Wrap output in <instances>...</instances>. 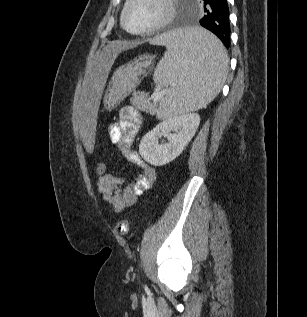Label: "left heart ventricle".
<instances>
[{"label":"left heart ventricle","instance_id":"left-heart-ventricle-1","mask_svg":"<svg viewBox=\"0 0 307 317\" xmlns=\"http://www.w3.org/2000/svg\"><path fill=\"white\" fill-rule=\"evenodd\" d=\"M165 0H135L126 14L127 27L132 31L147 29L167 13Z\"/></svg>","mask_w":307,"mask_h":317}]
</instances>
